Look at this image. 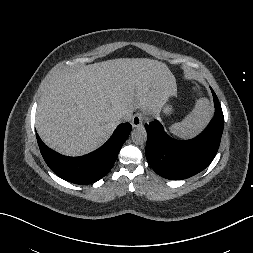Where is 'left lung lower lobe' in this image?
<instances>
[{"mask_svg": "<svg viewBox=\"0 0 253 253\" xmlns=\"http://www.w3.org/2000/svg\"><path fill=\"white\" fill-rule=\"evenodd\" d=\"M211 90L215 105L214 118L195 139H172L158 121L145 125L148 134L146 158L160 176L171 180L189 178L208 167L215 157L223 133L224 116L219 100Z\"/></svg>", "mask_w": 253, "mask_h": 253, "instance_id": "1", "label": "left lung lower lobe"}]
</instances>
